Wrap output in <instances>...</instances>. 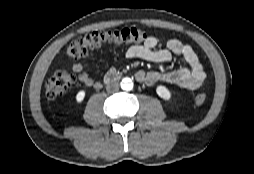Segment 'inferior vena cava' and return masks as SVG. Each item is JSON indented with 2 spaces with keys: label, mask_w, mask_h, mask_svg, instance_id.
Instances as JSON below:
<instances>
[{
  "label": "inferior vena cava",
  "mask_w": 254,
  "mask_h": 174,
  "mask_svg": "<svg viewBox=\"0 0 254 174\" xmlns=\"http://www.w3.org/2000/svg\"><path fill=\"white\" fill-rule=\"evenodd\" d=\"M106 90L109 93L117 92L119 90V83L118 82H111L107 84Z\"/></svg>",
  "instance_id": "inferior-vena-cava-1"
}]
</instances>
